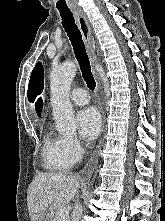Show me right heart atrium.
Wrapping results in <instances>:
<instances>
[{"mask_svg": "<svg viewBox=\"0 0 165 221\" xmlns=\"http://www.w3.org/2000/svg\"><path fill=\"white\" fill-rule=\"evenodd\" d=\"M65 148L68 154L74 158H78L82 152L81 142L77 138H64Z\"/></svg>", "mask_w": 165, "mask_h": 221, "instance_id": "obj_1", "label": "right heart atrium"}]
</instances>
